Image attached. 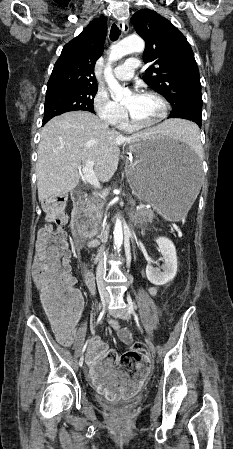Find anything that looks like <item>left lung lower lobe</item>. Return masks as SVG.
<instances>
[{"mask_svg":"<svg viewBox=\"0 0 233 449\" xmlns=\"http://www.w3.org/2000/svg\"><path fill=\"white\" fill-rule=\"evenodd\" d=\"M171 117H172V116H170V118H171ZM196 121H197V120H196ZM196 121H194V122H196ZM201 122H202V121L196 122V123L198 124L199 127H201Z\"/></svg>","mask_w":233,"mask_h":449,"instance_id":"obj_1","label":"left lung lower lobe"}]
</instances>
